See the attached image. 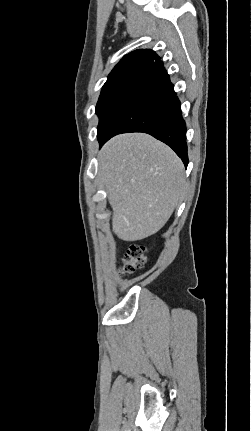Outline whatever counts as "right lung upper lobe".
<instances>
[{
	"instance_id": "1",
	"label": "right lung upper lobe",
	"mask_w": 251,
	"mask_h": 431,
	"mask_svg": "<svg viewBox=\"0 0 251 431\" xmlns=\"http://www.w3.org/2000/svg\"><path fill=\"white\" fill-rule=\"evenodd\" d=\"M156 57V53L150 49H138L132 51L120 60V62L111 71L109 76L119 69L130 65H144L145 67H148Z\"/></svg>"
}]
</instances>
